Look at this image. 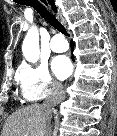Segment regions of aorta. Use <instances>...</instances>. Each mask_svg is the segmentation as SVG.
Segmentation results:
<instances>
[{
    "instance_id": "1",
    "label": "aorta",
    "mask_w": 117,
    "mask_h": 136,
    "mask_svg": "<svg viewBox=\"0 0 117 136\" xmlns=\"http://www.w3.org/2000/svg\"><path fill=\"white\" fill-rule=\"evenodd\" d=\"M22 52L29 62H36L39 58V34L36 27H32L26 34L22 44Z\"/></svg>"
}]
</instances>
